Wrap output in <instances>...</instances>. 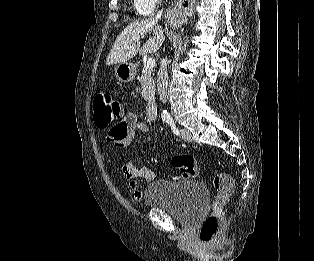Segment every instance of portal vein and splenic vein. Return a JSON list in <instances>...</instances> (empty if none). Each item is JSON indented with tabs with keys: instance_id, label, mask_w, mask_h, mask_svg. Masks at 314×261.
I'll return each mask as SVG.
<instances>
[{
	"instance_id": "obj_1",
	"label": "portal vein and splenic vein",
	"mask_w": 314,
	"mask_h": 261,
	"mask_svg": "<svg viewBox=\"0 0 314 261\" xmlns=\"http://www.w3.org/2000/svg\"><path fill=\"white\" fill-rule=\"evenodd\" d=\"M155 64H156L155 63V59L154 58H149L147 60V62H146V67L152 69V68L155 67Z\"/></svg>"
}]
</instances>
